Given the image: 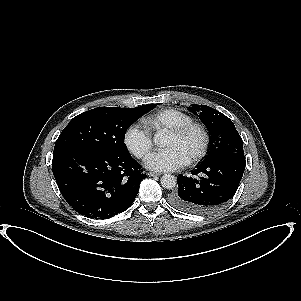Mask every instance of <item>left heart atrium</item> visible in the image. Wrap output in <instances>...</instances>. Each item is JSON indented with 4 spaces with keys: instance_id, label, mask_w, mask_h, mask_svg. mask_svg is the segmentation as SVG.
<instances>
[{
    "instance_id": "39dd6f15",
    "label": "left heart atrium",
    "mask_w": 301,
    "mask_h": 301,
    "mask_svg": "<svg viewBox=\"0 0 301 301\" xmlns=\"http://www.w3.org/2000/svg\"><path fill=\"white\" fill-rule=\"evenodd\" d=\"M187 160L171 149H164L147 156L145 165L148 169L167 172L177 171L185 166Z\"/></svg>"
}]
</instances>
